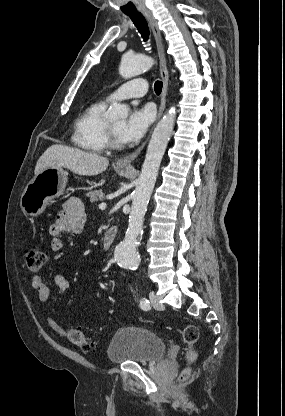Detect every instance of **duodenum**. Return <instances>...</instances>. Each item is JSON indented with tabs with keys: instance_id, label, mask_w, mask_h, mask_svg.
<instances>
[{
	"instance_id": "410a0bca",
	"label": "duodenum",
	"mask_w": 285,
	"mask_h": 416,
	"mask_svg": "<svg viewBox=\"0 0 285 416\" xmlns=\"http://www.w3.org/2000/svg\"><path fill=\"white\" fill-rule=\"evenodd\" d=\"M117 236V229L115 226H109L106 232L103 235L102 239V248L105 251H108Z\"/></svg>"
}]
</instances>
